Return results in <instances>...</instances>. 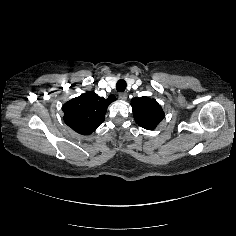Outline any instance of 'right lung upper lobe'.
<instances>
[{
    "label": "right lung upper lobe",
    "instance_id": "1",
    "mask_svg": "<svg viewBox=\"0 0 236 236\" xmlns=\"http://www.w3.org/2000/svg\"><path fill=\"white\" fill-rule=\"evenodd\" d=\"M115 100L114 95L105 99L94 92L82 94L63 105L64 121L75 132L89 135L103 123L107 107Z\"/></svg>",
    "mask_w": 236,
    "mask_h": 236
}]
</instances>
